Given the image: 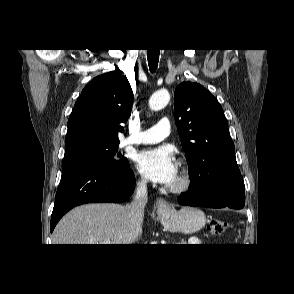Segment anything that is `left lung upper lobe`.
Masks as SVG:
<instances>
[{"label": "left lung upper lobe", "mask_w": 294, "mask_h": 294, "mask_svg": "<svg viewBox=\"0 0 294 294\" xmlns=\"http://www.w3.org/2000/svg\"><path fill=\"white\" fill-rule=\"evenodd\" d=\"M174 98V118L191 186L203 191L214 176L240 175L228 122L217 99L189 81L176 87Z\"/></svg>", "instance_id": "1"}]
</instances>
